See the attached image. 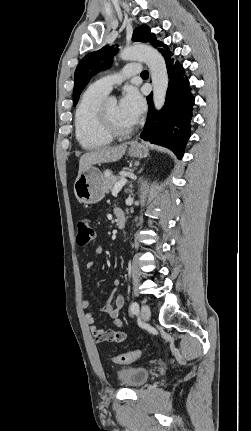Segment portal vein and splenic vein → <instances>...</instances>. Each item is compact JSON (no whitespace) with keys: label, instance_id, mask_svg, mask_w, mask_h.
<instances>
[{"label":"portal vein and splenic vein","instance_id":"portal-vein-and-splenic-vein-1","mask_svg":"<svg viewBox=\"0 0 251 431\" xmlns=\"http://www.w3.org/2000/svg\"><path fill=\"white\" fill-rule=\"evenodd\" d=\"M126 183H127L126 178H122L118 182H116L112 189V195L116 196Z\"/></svg>","mask_w":251,"mask_h":431}]
</instances>
